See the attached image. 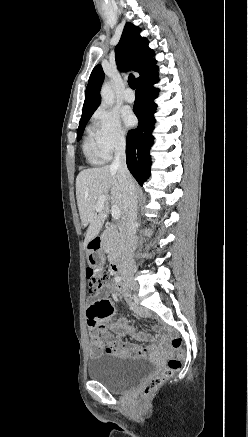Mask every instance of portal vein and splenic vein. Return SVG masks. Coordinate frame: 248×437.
Segmentation results:
<instances>
[{"label":"portal vein and splenic vein","instance_id":"portal-vein-and-splenic-vein-1","mask_svg":"<svg viewBox=\"0 0 248 437\" xmlns=\"http://www.w3.org/2000/svg\"><path fill=\"white\" fill-rule=\"evenodd\" d=\"M108 200V198L106 196H100L97 204L95 205L94 209L96 212H101L103 209V206L105 204V202ZM111 212H112V217L114 219H119L121 216V210L116 206L113 205L111 208Z\"/></svg>","mask_w":248,"mask_h":437}]
</instances>
